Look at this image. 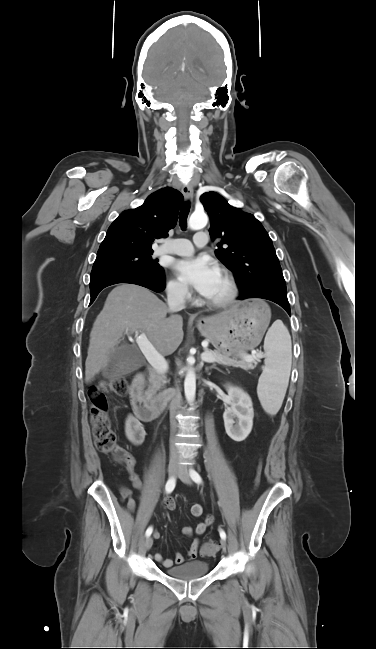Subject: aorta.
Returning <instances> with one entry per match:
<instances>
[{
  "instance_id": "1",
  "label": "aorta",
  "mask_w": 376,
  "mask_h": 649,
  "mask_svg": "<svg viewBox=\"0 0 376 649\" xmlns=\"http://www.w3.org/2000/svg\"><path fill=\"white\" fill-rule=\"evenodd\" d=\"M208 222V217L204 212H194L189 219V227L193 230L203 229ZM188 362H194L193 357H189ZM185 397L189 403H193L196 394V373L193 367H189L184 380Z\"/></svg>"
}]
</instances>
